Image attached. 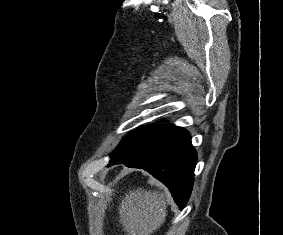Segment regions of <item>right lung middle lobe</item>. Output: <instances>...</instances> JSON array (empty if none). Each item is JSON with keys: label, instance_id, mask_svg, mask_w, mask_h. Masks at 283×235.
<instances>
[{"label": "right lung middle lobe", "instance_id": "right-lung-middle-lobe-1", "mask_svg": "<svg viewBox=\"0 0 283 235\" xmlns=\"http://www.w3.org/2000/svg\"><path fill=\"white\" fill-rule=\"evenodd\" d=\"M174 129L173 125L143 127L129 133L110 156V163L132 159L154 146Z\"/></svg>", "mask_w": 283, "mask_h": 235}]
</instances>
